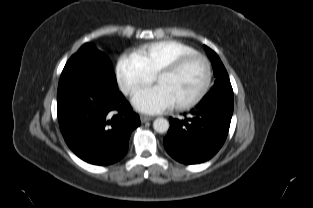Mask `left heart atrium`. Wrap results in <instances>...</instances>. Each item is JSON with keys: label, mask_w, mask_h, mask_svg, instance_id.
<instances>
[{"label": "left heart atrium", "mask_w": 313, "mask_h": 208, "mask_svg": "<svg viewBox=\"0 0 313 208\" xmlns=\"http://www.w3.org/2000/svg\"><path fill=\"white\" fill-rule=\"evenodd\" d=\"M132 103L138 111L146 114L162 113L175 105L167 91L158 84L135 92Z\"/></svg>", "instance_id": "left-heart-atrium-1"}]
</instances>
